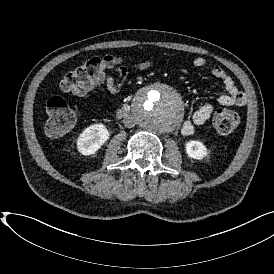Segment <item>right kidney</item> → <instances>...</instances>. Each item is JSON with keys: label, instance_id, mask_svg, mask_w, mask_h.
Listing matches in <instances>:
<instances>
[{"label": "right kidney", "instance_id": "obj_1", "mask_svg": "<svg viewBox=\"0 0 274 274\" xmlns=\"http://www.w3.org/2000/svg\"><path fill=\"white\" fill-rule=\"evenodd\" d=\"M110 138V131L102 123L85 128L76 139L77 151L82 156L94 155Z\"/></svg>", "mask_w": 274, "mask_h": 274}]
</instances>
